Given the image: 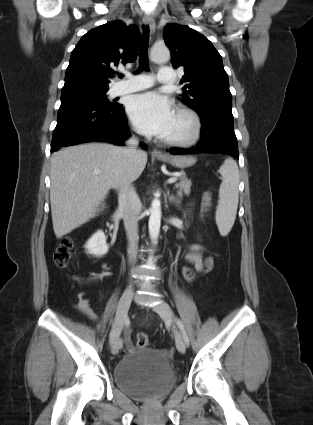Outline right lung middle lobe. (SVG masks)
I'll return each mask as SVG.
<instances>
[{
    "mask_svg": "<svg viewBox=\"0 0 313 425\" xmlns=\"http://www.w3.org/2000/svg\"><path fill=\"white\" fill-rule=\"evenodd\" d=\"M107 91L108 88L105 89H84V90H78L75 91V93H79V94H83L89 97H92L102 103L108 104V105H113L115 103H110L107 99Z\"/></svg>",
    "mask_w": 313,
    "mask_h": 425,
    "instance_id": "dd1d6c3e",
    "label": "right lung middle lobe"
}]
</instances>
